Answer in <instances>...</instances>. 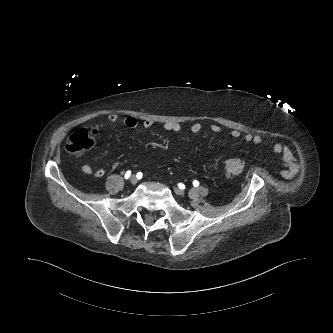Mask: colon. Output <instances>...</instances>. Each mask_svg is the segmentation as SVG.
<instances>
[{"label":"colon","mask_w":333,"mask_h":333,"mask_svg":"<svg viewBox=\"0 0 333 333\" xmlns=\"http://www.w3.org/2000/svg\"><path fill=\"white\" fill-rule=\"evenodd\" d=\"M96 129H79L68 139L65 149L71 154H82L91 149L95 143ZM225 172L228 176L235 177L244 170V162L236 157L229 158L225 162Z\"/></svg>","instance_id":"5ec220e1"}]
</instances>
